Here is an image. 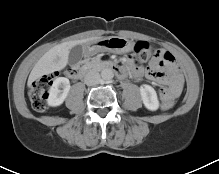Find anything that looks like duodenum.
Here are the masks:
<instances>
[{"label": "duodenum", "instance_id": "obj_1", "mask_svg": "<svg viewBox=\"0 0 219 174\" xmlns=\"http://www.w3.org/2000/svg\"><path fill=\"white\" fill-rule=\"evenodd\" d=\"M94 68L101 69V70H112L119 77H123L125 75L124 70L120 66L110 61H105V62H100L98 64H95ZM87 72H88V68L77 67V68L70 69L68 71V74L73 79H80L84 77L87 74Z\"/></svg>", "mask_w": 219, "mask_h": 174}]
</instances>
